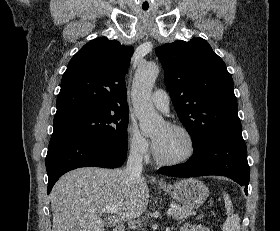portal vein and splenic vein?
<instances>
[{"mask_svg":"<svg viewBox=\"0 0 280 231\" xmlns=\"http://www.w3.org/2000/svg\"><path fill=\"white\" fill-rule=\"evenodd\" d=\"M102 211H106V213H109V211H114V207H103V209H101V213ZM175 209H168L167 211V215H172V213H174Z\"/></svg>","mask_w":280,"mask_h":231,"instance_id":"1","label":"portal vein and splenic vein"}]
</instances>
